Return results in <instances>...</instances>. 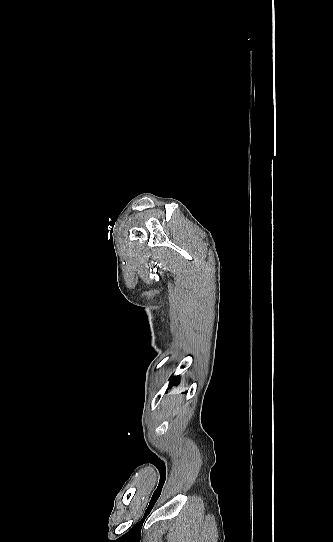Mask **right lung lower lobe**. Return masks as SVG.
<instances>
[{"label":"right lung lower lobe","mask_w":333,"mask_h":542,"mask_svg":"<svg viewBox=\"0 0 333 542\" xmlns=\"http://www.w3.org/2000/svg\"><path fill=\"white\" fill-rule=\"evenodd\" d=\"M180 376H172L170 379V385L168 388H171L173 385H177L179 383Z\"/></svg>","instance_id":"98d812e1"}]
</instances>
